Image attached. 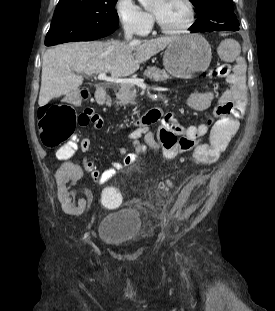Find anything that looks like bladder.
I'll use <instances>...</instances> for the list:
<instances>
[{"label": "bladder", "mask_w": 275, "mask_h": 311, "mask_svg": "<svg viewBox=\"0 0 275 311\" xmlns=\"http://www.w3.org/2000/svg\"><path fill=\"white\" fill-rule=\"evenodd\" d=\"M141 232L140 213L135 210L118 209L100 220L97 236L114 246L127 247L140 238Z\"/></svg>", "instance_id": "1"}]
</instances>
